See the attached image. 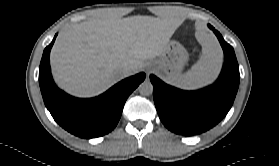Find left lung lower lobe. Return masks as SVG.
Instances as JSON below:
<instances>
[{
	"label": "left lung lower lobe",
	"instance_id": "0a47b994",
	"mask_svg": "<svg viewBox=\"0 0 279 166\" xmlns=\"http://www.w3.org/2000/svg\"><path fill=\"white\" fill-rule=\"evenodd\" d=\"M223 51L224 68L217 82L198 91H183L154 75V103L162 123L180 135H196L219 123L230 110L239 86V66L232 46L211 25Z\"/></svg>",
	"mask_w": 279,
	"mask_h": 166
}]
</instances>
